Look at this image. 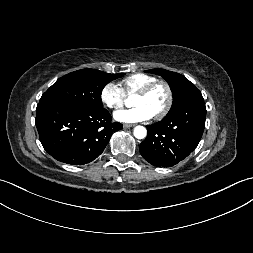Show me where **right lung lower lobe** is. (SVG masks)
<instances>
[{
  "instance_id": "98d812e1",
  "label": "right lung lower lobe",
  "mask_w": 253,
  "mask_h": 253,
  "mask_svg": "<svg viewBox=\"0 0 253 253\" xmlns=\"http://www.w3.org/2000/svg\"><path fill=\"white\" fill-rule=\"evenodd\" d=\"M106 109L39 102L36 127L44 149L56 160L73 165L87 164L106 147L122 124L111 122Z\"/></svg>"
}]
</instances>
